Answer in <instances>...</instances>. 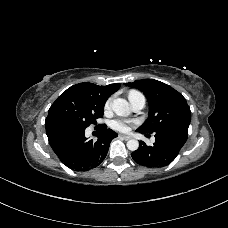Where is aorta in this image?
I'll return each instance as SVG.
<instances>
[{
    "mask_svg": "<svg viewBox=\"0 0 228 228\" xmlns=\"http://www.w3.org/2000/svg\"><path fill=\"white\" fill-rule=\"evenodd\" d=\"M111 108L119 116H126L130 113L129 103L122 98L114 99L111 103ZM127 148L130 151H136L139 148V142L131 139L127 142Z\"/></svg>",
    "mask_w": 228,
    "mask_h": 228,
    "instance_id": "1",
    "label": "aorta"
}]
</instances>
